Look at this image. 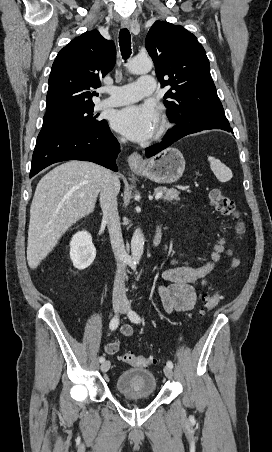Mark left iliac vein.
I'll use <instances>...</instances> for the list:
<instances>
[{
    "label": "left iliac vein",
    "mask_w": 272,
    "mask_h": 452,
    "mask_svg": "<svg viewBox=\"0 0 272 452\" xmlns=\"http://www.w3.org/2000/svg\"><path fill=\"white\" fill-rule=\"evenodd\" d=\"M129 310H130V304L127 301H125L123 303V307L121 309V313L127 314L129 312ZM163 371H164L165 376L168 379H172L173 378V370H172V368H170L168 366H165Z\"/></svg>",
    "instance_id": "4c4485c4"
}]
</instances>
